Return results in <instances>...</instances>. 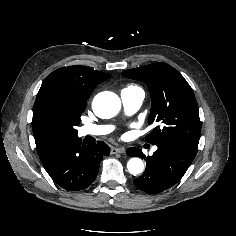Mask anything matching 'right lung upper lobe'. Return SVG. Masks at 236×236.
I'll use <instances>...</instances> for the list:
<instances>
[{
	"mask_svg": "<svg viewBox=\"0 0 236 236\" xmlns=\"http://www.w3.org/2000/svg\"><path fill=\"white\" fill-rule=\"evenodd\" d=\"M110 74L85 66H68L57 69L43 81L36 100L49 95L62 98L73 106L86 105L93 89L109 79Z\"/></svg>",
	"mask_w": 236,
	"mask_h": 236,
	"instance_id": "obj_1",
	"label": "right lung upper lobe"
}]
</instances>
